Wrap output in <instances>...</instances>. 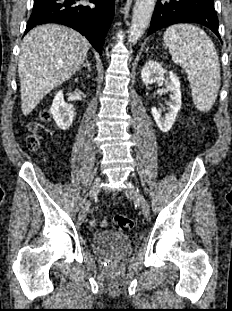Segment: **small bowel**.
Listing matches in <instances>:
<instances>
[{
  "label": "small bowel",
  "mask_w": 232,
  "mask_h": 311,
  "mask_svg": "<svg viewBox=\"0 0 232 311\" xmlns=\"http://www.w3.org/2000/svg\"><path fill=\"white\" fill-rule=\"evenodd\" d=\"M97 224H98V221H97L96 219H91V220H90V225H91V226L95 227V226H97ZM99 224H100L101 226H106V225H107V221L104 219V220H102Z\"/></svg>",
  "instance_id": "small-bowel-1"
}]
</instances>
